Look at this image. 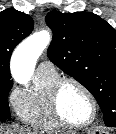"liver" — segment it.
I'll return each instance as SVG.
<instances>
[{
  "mask_svg": "<svg viewBox=\"0 0 116 134\" xmlns=\"http://www.w3.org/2000/svg\"><path fill=\"white\" fill-rule=\"evenodd\" d=\"M0 134H36L30 129L19 128V127H2L0 126Z\"/></svg>",
  "mask_w": 116,
  "mask_h": 134,
  "instance_id": "obj_1",
  "label": "liver"
}]
</instances>
